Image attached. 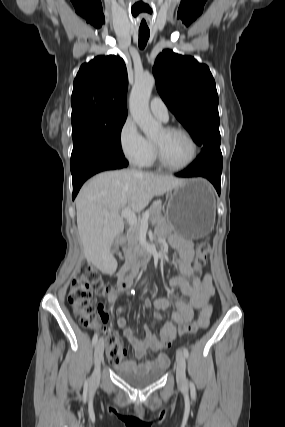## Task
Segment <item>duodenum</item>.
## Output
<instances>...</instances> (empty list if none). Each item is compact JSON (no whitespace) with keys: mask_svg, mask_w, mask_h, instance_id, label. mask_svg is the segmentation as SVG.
Listing matches in <instances>:
<instances>
[{"mask_svg":"<svg viewBox=\"0 0 285 427\" xmlns=\"http://www.w3.org/2000/svg\"><path fill=\"white\" fill-rule=\"evenodd\" d=\"M153 253L154 247L150 243L139 247L120 270L119 278L125 282H130L135 276L138 266L146 262Z\"/></svg>","mask_w":285,"mask_h":427,"instance_id":"duodenum-1","label":"duodenum"}]
</instances>
